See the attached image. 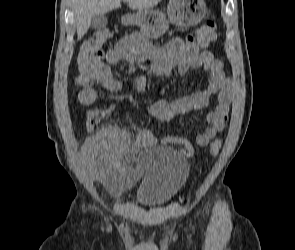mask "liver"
I'll return each instance as SVG.
<instances>
[{"label": "liver", "instance_id": "obj_1", "mask_svg": "<svg viewBox=\"0 0 295 250\" xmlns=\"http://www.w3.org/2000/svg\"><path fill=\"white\" fill-rule=\"evenodd\" d=\"M122 1L131 9L142 10L153 8L162 0H73L78 40L87 33L94 16L120 8Z\"/></svg>", "mask_w": 295, "mask_h": 250}]
</instances>
